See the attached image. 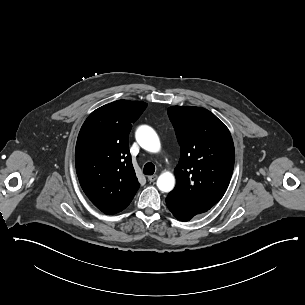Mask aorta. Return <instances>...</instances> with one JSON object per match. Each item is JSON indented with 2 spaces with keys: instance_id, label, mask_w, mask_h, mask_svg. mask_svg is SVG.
<instances>
[{
  "instance_id": "aorta-1",
  "label": "aorta",
  "mask_w": 305,
  "mask_h": 305,
  "mask_svg": "<svg viewBox=\"0 0 305 305\" xmlns=\"http://www.w3.org/2000/svg\"><path fill=\"white\" fill-rule=\"evenodd\" d=\"M138 144L148 152L157 153L160 150V140L150 126H140L136 131ZM175 186V177L171 172H163L157 179V187L162 192H170Z\"/></svg>"
}]
</instances>
